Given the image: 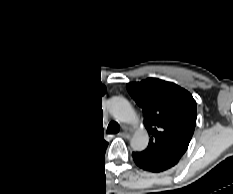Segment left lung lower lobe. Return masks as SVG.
<instances>
[{
	"mask_svg": "<svg viewBox=\"0 0 233 194\" xmlns=\"http://www.w3.org/2000/svg\"><path fill=\"white\" fill-rule=\"evenodd\" d=\"M132 156L139 167L152 172H160L169 169L179 161L173 158L150 156L144 152L132 153Z\"/></svg>",
	"mask_w": 233,
	"mask_h": 194,
	"instance_id": "0a47b994",
	"label": "left lung lower lobe"
}]
</instances>
